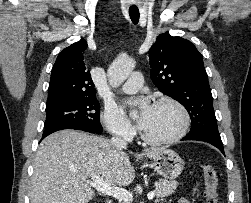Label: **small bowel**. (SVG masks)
Here are the masks:
<instances>
[{"label": "small bowel", "instance_id": "1", "mask_svg": "<svg viewBox=\"0 0 251 203\" xmlns=\"http://www.w3.org/2000/svg\"><path fill=\"white\" fill-rule=\"evenodd\" d=\"M177 203H191L188 199L182 198Z\"/></svg>", "mask_w": 251, "mask_h": 203}]
</instances>
